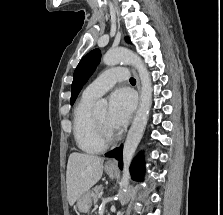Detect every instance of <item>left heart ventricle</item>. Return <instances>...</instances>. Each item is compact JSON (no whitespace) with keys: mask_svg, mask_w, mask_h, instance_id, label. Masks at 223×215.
Instances as JSON below:
<instances>
[{"mask_svg":"<svg viewBox=\"0 0 223 215\" xmlns=\"http://www.w3.org/2000/svg\"><path fill=\"white\" fill-rule=\"evenodd\" d=\"M95 116H96L97 120L101 123L103 128L105 129L106 138L108 140H110L113 137L115 132H114V129H112L107 123V111H106V109L97 111L95 113Z\"/></svg>","mask_w":223,"mask_h":215,"instance_id":"left-heart-ventricle-1","label":"left heart ventricle"}]
</instances>
